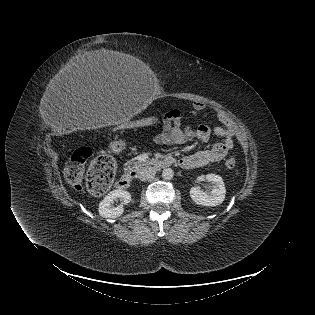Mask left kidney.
<instances>
[{
    "instance_id": "5707ae66",
    "label": "left kidney",
    "mask_w": 315,
    "mask_h": 315,
    "mask_svg": "<svg viewBox=\"0 0 315 315\" xmlns=\"http://www.w3.org/2000/svg\"><path fill=\"white\" fill-rule=\"evenodd\" d=\"M206 179L212 183V190L207 193L200 187H192L190 190L191 199L198 205L217 206L225 199V185L221 176L216 174H207Z\"/></svg>"
}]
</instances>
